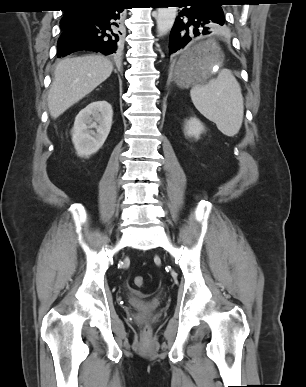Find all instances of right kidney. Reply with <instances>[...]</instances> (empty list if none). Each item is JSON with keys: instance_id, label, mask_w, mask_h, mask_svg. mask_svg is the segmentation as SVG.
Returning <instances> with one entry per match:
<instances>
[{"instance_id": "obj_1", "label": "right kidney", "mask_w": 306, "mask_h": 387, "mask_svg": "<svg viewBox=\"0 0 306 387\" xmlns=\"http://www.w3.org/2000/svg\"><path fill=\"white\" fill-rule=\"evenodd\" d=\"M112 117V106L107 101L92 102L78 113L71 131L78 156L89 157L102 147L110 132Z\"/></svg>"}]
</instances>
